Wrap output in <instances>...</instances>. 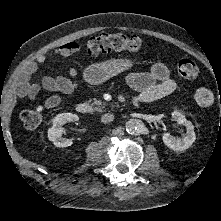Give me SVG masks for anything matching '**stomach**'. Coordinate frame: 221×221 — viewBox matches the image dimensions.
<instances>
[{"label": "stomach", "mask_w": 221, "mask_h": 221, "mask_svg": "<svg viewBox=\"0 0 221 221\" xmlns=\"http://www.w3.org/2000/svg\"><path fill=\"white\" fill-rule=\"evenodd\" d=\"M133 61L128 58L108 59L88 66L83 73L86 82L99 85L110 78L133 67Z\"/></svg>", "instance_id": "1"}]
</instances>
